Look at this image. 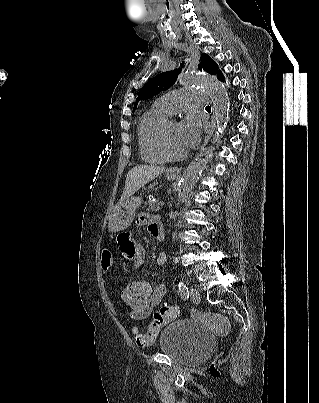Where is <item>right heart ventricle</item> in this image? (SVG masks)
I'll return each mask as SVG.
<instances>
[{
  "instance_id": "1",
  "label": "right heart ventricle",
  "mask_w": 319,
  "mask_h": 403,
  "mask_svg": "<svg viewBox=\"0 0 319 403\" xmlns=\"http://www.w3.org/2000/svg\"><path fill=\"white\" fill-rule=\"evenodd\" d=\"M169 113L154 103L140 118L137 127L139 155L144 162L160 164L166 161L158 148V136Z\"/></svg>"
}]
</instances>
